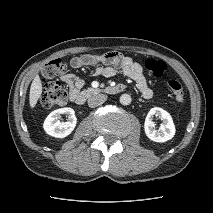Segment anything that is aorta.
<instances>
[{
	"label": "aorta",
	"mask_w": 213,
	"mask_h": 213,
	"mask_svg": "<svg viewBox=\"0 0 213 213\" xmlns=\"http://www.w3.org/2000/svg\"><path fill=\"white\" fill-rule=\"evenodd\" d=\"M120 103L122 105H129L131 103V96L129 94H122L120 96Z\"/></svg>",
	"instance_id": "obj_1"
}]
</instances>
